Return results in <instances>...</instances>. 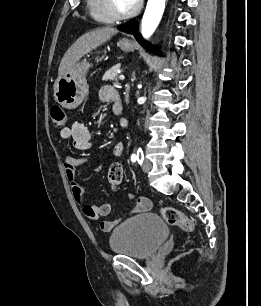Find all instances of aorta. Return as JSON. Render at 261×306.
<instances>
[{"mask_svg":"<svg viewBox=\"0 0 261 306\" xmlns=\"http://www.w3.org/2000/svg\"><path fill=\"white\" fill-rule=\"evenodd\" d=\"M165 2L166 0H148L141 23V33L144 38L148 39L159 25L165 9Z\"/></svg>","mask_w":261,"mask_h":306,"instance_id":"762f6f07","label":"aorta"}]
</instances>
